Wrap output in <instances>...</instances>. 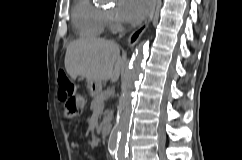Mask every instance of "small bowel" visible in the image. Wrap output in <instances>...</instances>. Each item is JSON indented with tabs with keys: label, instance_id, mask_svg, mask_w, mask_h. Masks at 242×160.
I'll list each match as a JSON object with an SVG mask.
<instances>
[{
	"label": "small bowel",
	"instance_id": "1",
	"mask_svg": "<svg viewBox=\"0 0 242 160\" xmlns=\"http://www.w3.org/2000/svg\"><path fill=\"white\" fill-rule=\"evenodd\" d=\"M78 101H79V108H78V111H77V113H79V112H81V110H82V107H83V99L81 98V97H77L76 98ZM66 113V112H65ZM67 114V113H66Z\"/></svg>",
	"mask_w": 242,
	"mask_h": 160
}]
</instances>
